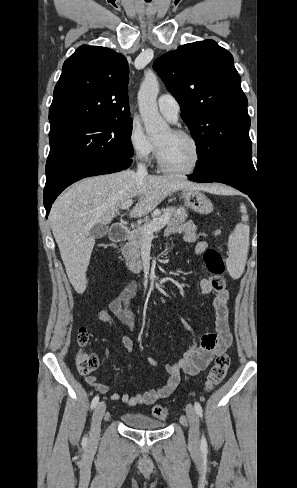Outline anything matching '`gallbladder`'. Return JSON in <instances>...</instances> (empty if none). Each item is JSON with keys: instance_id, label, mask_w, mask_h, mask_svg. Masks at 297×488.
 I'll use <instances>...</instances> for the list:
<instances>
[{"instance_id": "gallbladder-1", "label": "gallbladder", "mask_w": 297, "mask_h": 488, "mask_svg": "<svg viewBox=\"0 0 297 488\" xmlns=\"http://www.w3.org/2000/svg\"><path fill=\"white\" fill-rule=\"evenodd\" d=\"M107 232H108V226L98 223L91 228L89 234L90 236L99 239L106 236Z\"/></svg>"}]
</instances>
